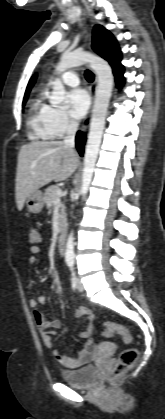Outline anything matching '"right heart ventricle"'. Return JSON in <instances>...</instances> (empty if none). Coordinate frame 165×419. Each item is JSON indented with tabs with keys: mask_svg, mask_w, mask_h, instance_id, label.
I'll return each mask as SVG.
<instances>
[{
	"mask_svg": "<svg viewBox=\"0 0 165 419\" xmlns=\"http://www.w3.org/2000/svg\"><path fill=\"white\" fill-rule=\"evenodd\" d=\"M50 110L51 107L45 102L44 93H36L30 103L27 119L32 139L50 140L55 137L49 120Z\"/></svg>",
	"mask_w": 165,
	"mask_h": 419,
	"instance_id": "right-heart-ventricle-1",
	"label": "right heart ventricle"
}]
</instances>
